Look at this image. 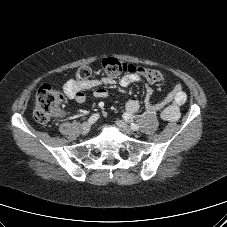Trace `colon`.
<instances>
[{"label": "colon", "instance_id": "1", "mask_svg": "<svg viewBox=\"0 0 227 227\" xmlns=\"http://www.w3.org/2000/svg\"><path fill=\"white\" fill-rule=\"evenodd\" d=\"M102 65L104 72L110 77L138 73L151 83H163L165 81L164 75L158 70L137 67L116 58H106ZM91 73L92 69L89 66H81L75 72V80H86L90 77ZM64 99V95L53 86L49 84L42 85L36 94L33 110L35 120L41 124L48 123L59 113Z\"/></svg>", "mask_w": 227, "mask_h": 227}]
</instances>
